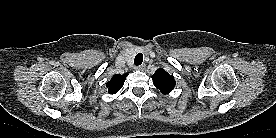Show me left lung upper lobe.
<instances>
[{
  "mask_svg": "<svg viewBox=\"0 0 276 138\" xmlns=\"http://www.w3.org/2000/svg\"><path fill=\"white\" fill-rule=\"evenodd\" d=\"M153 84L162 94H168L175 87L174 77L169 75L164 69L160 68L152 75Z\"/></svg>",
  "mask_w": 276,
  "mask_h": 138,
  "instance_id": "1",
  "label": "left lung upper lobe"
}]
</instances>
